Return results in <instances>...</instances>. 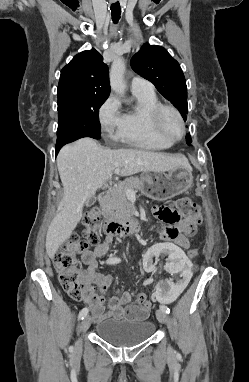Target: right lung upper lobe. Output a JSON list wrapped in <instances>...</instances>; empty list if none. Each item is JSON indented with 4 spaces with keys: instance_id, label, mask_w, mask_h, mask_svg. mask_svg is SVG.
<instances>
[{
    "instance_id": "right-lung-upper-lobe-1",
    "label": "right lung upper lobe",
    "mask_w": 249,
    "mask_h": 382,
    "mask_svg": "<svg viewBox=\"0 0 249 382\" xmlns=\"http://www.w3.org/2000/svg\"><path fill=\"white\" fill-rule=\"evenodd\" d=\"M57 94L58 108L107 99L109 72L100 53L92 49L74 56L61 71Z\"/></svg>"
}]
</instances>
